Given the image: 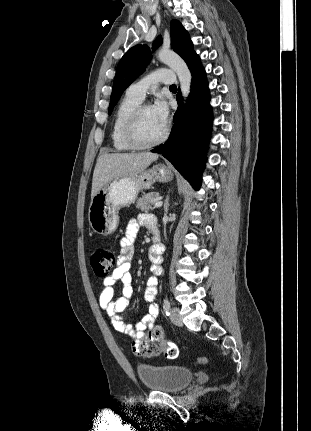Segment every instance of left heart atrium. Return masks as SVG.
<instances>
[{"mask_svg": "<svg viewBox=\"0 0 311 431\" xmlns=\"http://www.w3.org/2000/svg\"><path fill=\"white\" fill-rule=\"evenodd\" d=\"M151 110L159 123L165 127L168 122L170 113L169 105L166 99L162 96H158L154 100V103L151 106Z\"/></svg>", "mask_w": 311, "mask_h": 431, "instance_id": "obj_1", "label": "left heart atrium"}]
</instances>
